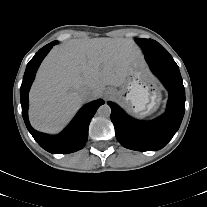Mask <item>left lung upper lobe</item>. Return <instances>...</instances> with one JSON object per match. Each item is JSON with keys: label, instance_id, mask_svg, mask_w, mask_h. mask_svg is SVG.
Masks as SVG:
<instances>
[{"label": "left lung upper lobe", "instance_id": "left-lung-upper-lobe-1", "mask_svg": "<svg viewBox=\"0 0 207 207\" xmlns=\"http://www.w3.org/2000/svg\"><path fill=\"white\" fill-rule=\"evenodd\" d=\"M136 42L142 48L145 54L168 53L166 49L163 46H161L158 42H156L155 40L138 38Z\"/></svg>", "mask_w": 207, "mask_h": 207}]
</instances>
